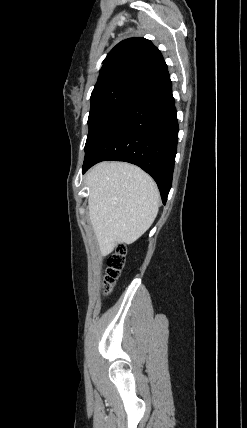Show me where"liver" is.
<instances>
[{"label":"liver","mask_w":247,"mask_h":428,"mask_svg":"<svg viewBox=\"0 0 247 428\" xmlns=\"http://www.w3.org/2000/svg\"><path fill=\"white\" fill-rule=\"evenodd\" d=\"M90 195L89 217L101 255L118 244H131L154 222L159 190L139 167L122 162H102L86 175Z\"/></svg>","instance_id":"liver-1"}]
</instances>
